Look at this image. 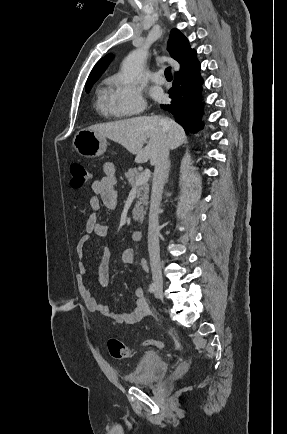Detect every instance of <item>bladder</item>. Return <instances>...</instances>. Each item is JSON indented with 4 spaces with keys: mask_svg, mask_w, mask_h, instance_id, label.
I'll use <instances>...</instances> for the list:
<instances>
[{
    "mask_svg": "<svg viewBox=\"0 0 287 434\" xmlns=\"http://www.w3.org/2000/svg\"><path fill=\"white\" fill-rule=\"evenodd\" d=\"M169 371L167 361L157 353H147L125 376L131 384L139 387H151L164 378Z\"/></svg>",
    "mask_w": 287,
    "mask_h": 434,
    "instance_id": "obj_1",
    "label": "bladder"
}]
</instances>
